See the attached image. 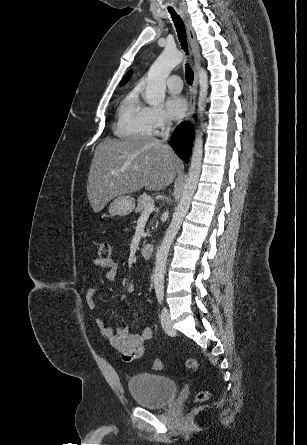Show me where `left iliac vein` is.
Wrapping results in <instances>:
<instances>
[{"label": "left iliac vein", "instance_id": "left-iliac-vein-1", "mask_svg": "<svg viewBox=\"0 0 307 445\" xmlns=\"http://www.w3.org/2000/svg\"><path fill=\"white\" fill-rule=\"evenodd\" d=\"M161 324L162 327L164 329V331L168 334V335H175L176 334V330L173 328V324L170 318V312L166 307L162 308L161 311Z\"/></svg>", "mask_w": 307, "mask_h": 445}]
</instances>
